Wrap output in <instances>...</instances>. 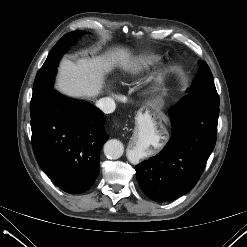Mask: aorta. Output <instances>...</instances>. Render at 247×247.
Returning <instances> with one entry per match:
<instances>
[{
	"instance_id": "762f6f07",
	"label": "aorta",
	"mask_w": 247,
	"mask_h": 247,
	"mask_svg": "<svg viewBox=\"0 0 247 247\" xmlns=\"http://www.w3.org/2000/svg\"><path fill=\"white\" fill-rule=\"evenodd\" d=\"M124 152L123 144L116 139L108 140L104 145V154L109 159H118Z\"/></svg>"
}]
</instances>
